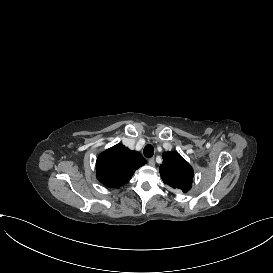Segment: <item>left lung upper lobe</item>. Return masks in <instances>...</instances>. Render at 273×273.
<instances>
[{
	"label": "left lung upper lobe",
	"instance_id": "5c2ea615",
	"mask_svg": "<svg viewBox=\"0 0 273 273\" xmlns=\"http://www.w3.org/2000/svg\"><path fill=\"white\" fill-rule=\"evenodd\" d=\"M163 163L160 165V175L163 182L173 188L188 192L192 186L194 172L192 167L176 151L166 152L162 155Z\"/></svg>",
	"mask_w": 273,
	"mask_h": 273
}]
</instances>
